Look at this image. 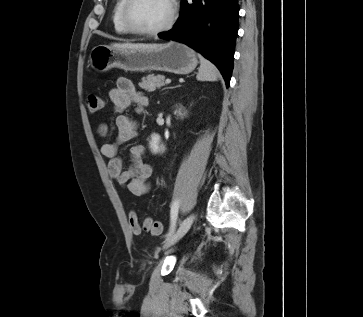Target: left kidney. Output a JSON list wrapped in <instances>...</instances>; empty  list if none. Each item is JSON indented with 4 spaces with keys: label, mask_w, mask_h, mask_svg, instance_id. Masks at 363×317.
<instances>
[{
    "label": "left kidney",
    "mask_w": 363,
    "mask_h": 317,
    "mask_svg": "<svg viewBox=\"0 0 363 317\" xmlns=\"http://www.w3.org/2000/svg\"><path fill=\"white\" fill-rule=\"evenodd\" d=\"M179 115H182V113L178 112ZM160 136L157 135V134H153L151 136V141L149 142V145H150V148L152 150V152L154 153H157V152H160V151H163L164 150V146L163 145H160Z\"/></svg>",
    "instance_id": "left-kidney-1"
}]
</instances>
